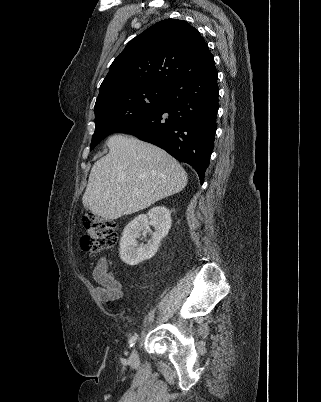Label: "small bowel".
Listing matches in <instances>:
<instances>
[{
  "mask_svg": "<svg viewBox=\"0 0 321 402\" xmlns=\"http://www.w3.org/2000/svg\"><path fill=\"white\" fill-rule=\"evenodd\" d=\"M92 274L94 280L98 283L96 293L100 299L110 300L122 296L121 285L109 274L105 260H100L95 265Z\"/></svg>",
  "mask_w": 321,
  "mask_h": 402,
  "instance_id": "c3829d8e",
  "label": "small bowel"
}]
</instances>
